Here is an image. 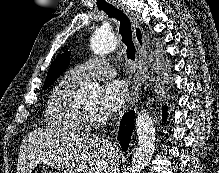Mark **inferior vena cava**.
<instances>
[{"label":"inferior vena cava","mask_w":219,"mask_h":173,"mask_svg":"<svg viewBox=\"0 0 219 173\" xmlns=\"http://www.w3.org/2000/svg\"><path fill=\"white\" fill-rule=\"evenodd\" d=\"M111 150L113 151V155L116 156V154H117L116 148L112 144H111Z\"/></svg>","instance_id":"1"}]
</instances>
